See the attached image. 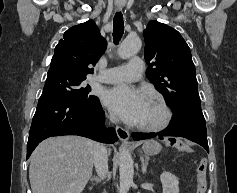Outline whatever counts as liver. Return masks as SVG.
<instances>
[{
    "label": "liver",
    "mask_w": 237,
    "mask_h": 193,
    "mask_svg": "<svg viewBox=\"0 0 237 193\" xmlns=\"http://www.w3.org/2000/svg\"><path fill=\"white\" fill-rule=\"evenodd\" d=\"M96 142L80 136L50 137L31 155L33 193H81L92 175Z\"/></svg>",
    "instance_id": "6515ba94"
}]
</instances>
